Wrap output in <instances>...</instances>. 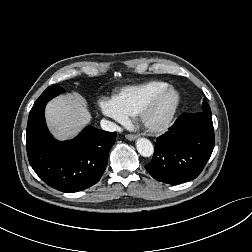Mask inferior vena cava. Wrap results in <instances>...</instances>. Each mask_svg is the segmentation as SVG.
<instances>
[{"label": "inferior vena cava", "mask_w": 252, "mask_h": 252, "mask_svg": "<svg viewBox=\"0 0 252 252\" xmlns=\"http://www.w3.org/2000/svg\"><path fill=\"white\" fill-rule=\"evenodd\" d=\"M101 128L105 131H109V132H121L122 129L121 127H119L117 124H115L114 122H111L109 120L103 119L101 120Z\"/></svg>", "instance_id": "1"}]
</instances>
